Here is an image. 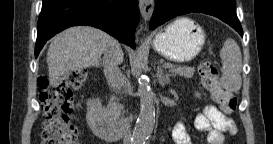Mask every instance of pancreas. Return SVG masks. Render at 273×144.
<instances>
[{
	"instance_id": "pancreas-1",
	"label": "pancreas",
	"mask_w": 273,
	"mask_h": 144,
	"mask_svg": "<svg viewBox=\"0 0 273 144\" xmlns=\"http://www.w3.org/2000/svg\"><path fill=\"white\" fill-rule=\"evenodd\" d=\"M194 68L186 66H173L171 72L173 75H179L185 78H192L194 75ZM119 105L115 102V98L111 97L110 102L106 108L107 114L112 118L119 117Z\"/></svg>"
}]
</instances>
